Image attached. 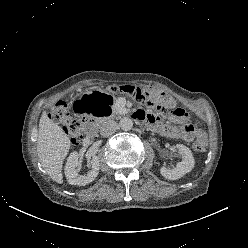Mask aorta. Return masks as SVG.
I'll list each match as a JSON object with an SVG mask.
<instances>
[{
    "instance_id": "obj_1",
    "label": "aorta",
    "mask_w": 248,
    "mask_h": 248,
    "mask_svg": "<svg viewBox=\"0 0 248 248\" xmlns=\"http://www.w3.org/2000/svg\"><path fill=\"white\" fill-rule=\"evenodd\" d=\"M119 126L122 130L124 131H129L132 129L133 127V121L132 119L128 118V117H124L120 120L119 122Z\"/></svg>"
}]
</instances>
